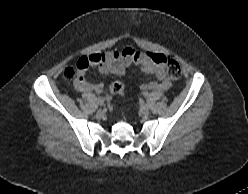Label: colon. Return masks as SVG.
<instances>
[{"label":"colon","instance_id":"1","mask_svg":"<svg viewBox=\"0 0 248 194\" xmlns=\"http://www.w3.org/2000/svg\"><path fill=\"white\" fill-rule=\"evenodd\" d=\"M152 59L156 64L163 66L165 74L169 79L176 80L180 77L181 68L178 61L174 58L167 55L154 54ZM91 65H95L91 55L83 57L75 65H68L64 69L63 76L69 82L74 81L78 78L80 72L85 71ZM111 91L122 95L124 94V86L121 82H113L111 84Z\"/></svg>","mask_w":248,"mask_h":194}]
</instances>
